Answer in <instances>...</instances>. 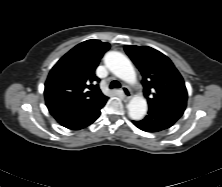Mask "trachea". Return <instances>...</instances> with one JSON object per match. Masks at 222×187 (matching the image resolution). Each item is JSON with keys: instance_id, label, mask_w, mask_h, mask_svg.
Masks as SVG:
<instances>
[{"instance_id": "trachea-1", "label": "trachea", "mask_w": 222, "mask_h": 187, "mask_svg": "<svg viewBox=\"0 0 222 187\" xmlns=\"http://www.w3.org/2000/svg\"><path fill=\"white\" fill-rule=\"evenodd\" d=\"M109 87H110V89H115V88H120L121 85L118 81L114 80V81L111 82Z\"/></svg>"}]
</instances>
